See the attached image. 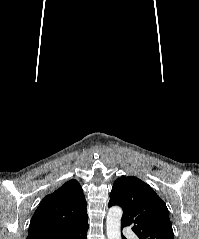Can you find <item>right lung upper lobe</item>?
Segmentation results:
<instances>
[{
	"label": "right lung upper lobe",
	"instance_id": "cb5924a9",
	"mask_svg": "<svg viewBox=\"0 0 199 239\" xmlns=\"http://www.w3.org/2000/svg\"><path fill=\"white\" fill-rule=\"evenodd\" d=\"M86 206L79 182H66L41 201L31 219L27 239L60 236L86 224Z\"/></svg>",
	"mask_w": 199,
	"mask_h": 239
}]
</instances>
